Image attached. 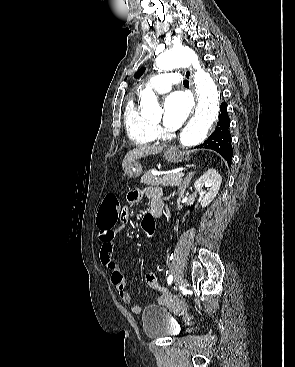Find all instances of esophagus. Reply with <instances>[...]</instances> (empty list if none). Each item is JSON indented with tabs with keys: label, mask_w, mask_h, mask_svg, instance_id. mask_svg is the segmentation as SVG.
Masks as SVG:
<instances>
[{
	"label": "esophagus",
	"mask_w": 295,
	"mask_h": 367,
	"mask_svg": "<svg viewBox=\"0 0 295 367\" xmlns=\"http://www.w3.org/2000/svg\"><path fill=\"white\" fill-rule=\"evenodd\" d=\"M184 75L185 77L188 79L189 84H190V89L192 90L194 96H195V92H194V86H193V82H192V70L191 69H186L184 71ZM171 150V149H170Z\"/></svg>",
	"instance_id": "obj_1"
}]
</instances>
